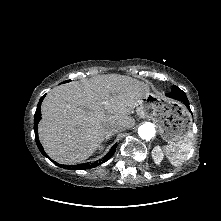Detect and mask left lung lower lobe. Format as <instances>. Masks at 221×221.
Returning <instances> with one entry per match:
<instances>
[{
  "instance_id": "0a47b994",
  "label": "left lung lower lobe",
  "mask_w": 221,
  "mask_h": 221,
  "mask_svg": "<svg viewBox=\"0 0 221 221\" xmlns=\"http://www.w3.org/2000/svg\"><path fill=\"white\" fill-rule=\"evenodd\" d=\"M168 97L173 98L175 100L181 101L185 104V106L190 110L189 107V101L187 99V96L185 92H183L181 89H172V91L168 94H166Z\"/></svg>"
}]
</instances>
